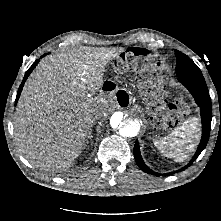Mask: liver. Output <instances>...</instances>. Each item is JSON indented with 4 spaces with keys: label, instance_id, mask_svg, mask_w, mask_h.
<instances>
[{
    "label": "liver",
    "instance_id": "1",
    "mask_svg": "<svg viewBox=\"0 0 221 221\" xmlns=\"http://www.w3.org/2000/svg\"><path fill=\"white\" fill-rule=\"evenodd\" d=\"M123 50L79 47L50 55L37 66L14 117L16 141L26 159L48 168L73 165L94 122L109 110L106 97L92 93L103 86L108 62Z\"/></svg>",
    "mask_w": 221,
    "mask_h": 221
}]
</instances>
